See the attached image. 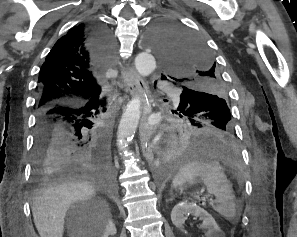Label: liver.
Here are the masks:
<instances>
[{
  "instance_id": "obj_1",
  "label": "liver",
  "mask_w": 297,
  "mask_h": 237,
  "mask_svg": "<svg viewBox=\"0 0 297 237\" xmlns=\"http://www.w3.org/2000/svg\"><path fill=\"white\" fill-rule=\"evenodd\" d=\"M95 192L94 183L82 176L69 177L38 190L33 197L32 214L40 237H63L70 206Z\"/></svg>"
}]
</instances>
